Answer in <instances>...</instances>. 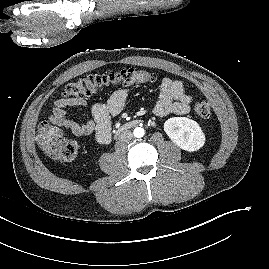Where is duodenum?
Returning a JSON list of instances; mask_svg holds the SVG:
<instances>
[{"label": "duodenum", "instance_id": "1", "mask_svg": "<svg viewBox=\"0 0 269 269\" xmlns=\"http://www.w3.org/2000/svg\"><path fill=\"white\" fill-rule=\"evenodd\" d=\"M141 122L142 121L138 120V119L127 121V122H125L124 124L121 125V127L117 131V134H119V133H121L123 131H126V130H128L130 128L136 127L139 124H141Z\"/></svg>", "mask_w": 269, "mask_h": 269}]
</instances>
